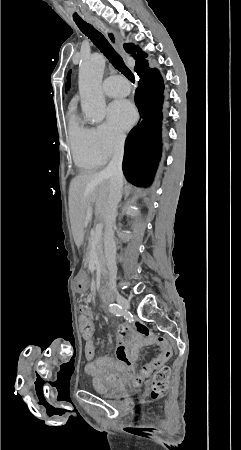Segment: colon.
<instances>
[{
	"mask_svg": "<svg viewBox=\"0 0 241 450\" xmlns=\"http://www.w3.org/2000/svg\"><path fill=\"white\" fill-rule=\"evenodd\" d=\"M79 334L82 336H93V319L86 317L83 323L79 324ZM173 374L171 367H166L164 373L155 371L149 389V396L152 400H159L164 396L168 388L169 376Z\"/></svg>",
	"mask_w": 241,
	"mask_h": 450,
	"instance_id": "obj_1",
	"label": "colon"
}]
</instances>
